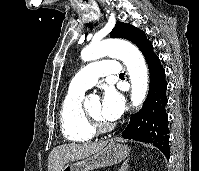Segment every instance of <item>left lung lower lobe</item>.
Segmentation results:
<instances>
[{
	"label": "left lung lower lobe",
	"instance_id": "1",
	"mask_svg": "<svg viewBox=\"0 0 199 171\" xmlns=\"http://www.w3.org/2000/svg\"><path fill=\"white\" fill-rule=\"evenodd\" d=\"M141 52L149 67V92L142 109L131 115L128 126L122 132V137L151 143L169 159L168 116L165 110L167 104L165 70L159 58L154 54L151 42L146 43Z\"/></svg>",
	"mask_w": 199,
	"mask_h": 171
}]
</instances>
